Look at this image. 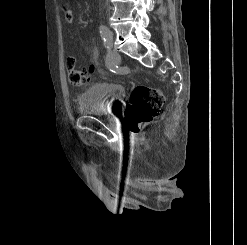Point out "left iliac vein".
<instances>
[{"label":"left iliac vein","mask_w":247,"mask_h":245,"mask_svg":"<svg viewBox=\"0 0 247 245\" xmlns=\"http://www.w3.org/2000/svg\"><path fill=\"white\" fill-rule=\"evenodd\" d=\"M110 59H111L113 65H117L121 61V57H120L119 53L116 52L115 50H111Z\"/></svg>","instance_id":"4c4485c4"}]
</instances>
